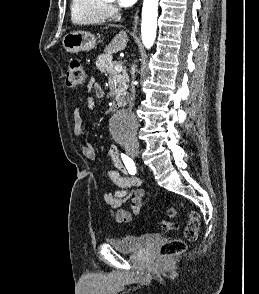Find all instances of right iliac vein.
Instances as JSON below:
<instances>
[{
    "label": "right iliac vein",
    "mask_w": 259,
    "mask_h": 294,
    "mask_svg": "<svg viewBox=\"0 0 259 294\" xmlns=\"http://www.w3.org/2000/svg\"><path fill=\"white\" fill-rule=\"evenodd\" d=\"M128 153L133 158L139 157V149L138 148L129 149Z\"/></svg>",
    "instance_id": "1"
}]
</instances>
